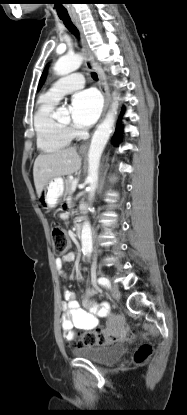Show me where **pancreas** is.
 Listing matches in <instances>:
<instances>
[{
  "label": "pancreas",
  "mask_w": 187,
  "mask_h": 415,
  "mask_svg": "<svg viewBox=\"0 0 187 415\" xmlns=\"http://www.w3.org/2000/svg\"><path fill=\"white\" fill-rule=\"evenodd\" d=\"M72 182H73V179L70 178V177H67L65 179V193H64V199L65 200H67L68 198H70L72 196V194H73V191L71 189Z\"/></svg>",
  "instance_id": "1"
}]
</instances>
